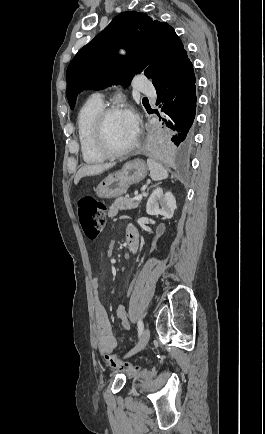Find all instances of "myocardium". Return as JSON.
<instances>
[{
	"label": "myocardium",
	"instance_id": "myocardium-1",
	"mask_svg": "<svg viewBox=\"0 0 265 434\" xmlns=\"http://www.w3.org/2000/svg\"><path fill=\"white\" fill-rule=\"evenodd\" d=\"M121 113V110L117 107H108L103 108L101 113L97 117L96 121V142L101 150V152L107 157L111 159H118L122 157H126L133 153L140 144V137L137 134L134 143L127 149L124 150H114L108 143V122L110 118L115 115Z\"/></svg>",
	"mask_w": 265,
	"mask_h": 434
}]
</instances>
